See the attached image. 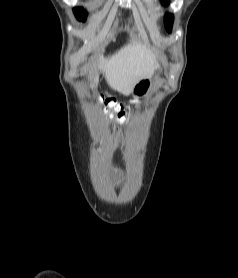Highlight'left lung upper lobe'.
I'll return each instance as SVG.
<instances>
[{"instance_id":"1","label":"left lung upper lobe","mask_w":238,"mask_h":278,"mask_svg":"<svg viewBox=\"0 0 238 278\" xmlns=\"http://www.w3.org/2000/svg\"><path fill=\"white\" fill-rule=\"evenodd\" d=\"M162 4L168 5V2H162ZM173 20H174V16L172 14L165 15L164 24L168 32H171Z\"/></svg>"}]
</instances>
